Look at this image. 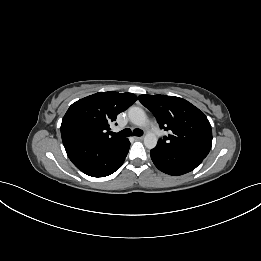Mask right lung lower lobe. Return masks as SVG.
Segmentation results:
<instances>
[{
    "label": "right lung lower lobe",
    "instance_id": "98d812e1",
    "mask_svg": "<svg viewBox=\"0 0 261 261\" xmlns=\"http://www.w3.org/2000/svg\"><path fill=\"white\" fill-rule=\"evenodd\" d=\"M130 148L127 138L114 143H76L65 146L72 163L92 177H105L123 164Z\"/></svg>",
    "mask_w": 261,
    "mask_h": 261
}]
</instances>
